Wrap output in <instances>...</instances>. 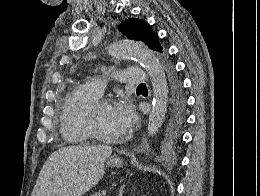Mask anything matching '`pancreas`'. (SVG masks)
Listing matches in <instances>:
<instances>
[{
	"label": "pancreas",
	"instance_id": "pancreas-1",
	"mask_svg": "<svg viewBox=\"0 0 260 196\" xmlns=\"http://www.w3.org/2000/svg\"><path fill=\"white\" fill-rule=\"evenodd\" d=\"M95 196H99V192H98V194H95Z\"/></svg>",
	"mask_w": 260,
	"mask_h": 196
}]
</instances>
